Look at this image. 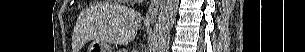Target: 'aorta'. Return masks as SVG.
I'll list each match as a JSON object with an SVG mask.
<instances>
[{"mask_svg": "<svg viewBox=\"0 0 305 52\" xmlns=\"http://www.w3.org/2000/svg\"><path fill=\"white\" fill-rule=\"evenodd\" d=\"M179 0H161L158 13V33L151 45V52H168L170 31L178 11Z\"/></svg>", "mask_w": 305, "mask_h": 52, "instance_id": "762f6f07", "label": "aorta"}]
</instances>
